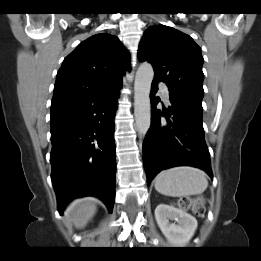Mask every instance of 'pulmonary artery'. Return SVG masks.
Here are the masks:
<instances>
[{"instance_id":"e3ab8cb5","label":"pulmonary artery","mask_w":261,"mask_h":261,"mask_svg":"<svg viewBox=\"0 0 261 261\" xmlns=\"http://www.w3.org/2000/svg\"><path fill=\"white\" fill-rule=\"evenodd\" d=\"M158 87H159V90L161 92L162 98L165 101H169V92H168L167 87L163 83H159Z\"/></svg>"}]
</instances>
